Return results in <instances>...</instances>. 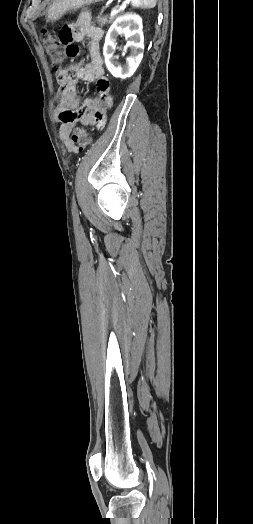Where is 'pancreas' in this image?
I'll use <instances>...</instances> for the list:
<instances>
[{"mask_svg":"<svg viewBox=\"0 0 253 524\" xmlns=\"http://www.w3.org/2000/svg\"><path fill=\"white\" fill-rule=\"evenodd\" d=\"M114 16L112 17H103L102 16V13H100L97 17H96V22L101 26V27H104L105 25H108L110 24L113 20H114Z\"/></svg>","mask_w":253,"mask_h":524,"instance_id":"cf45deb5","label":"pancreas"}]
</instances>
